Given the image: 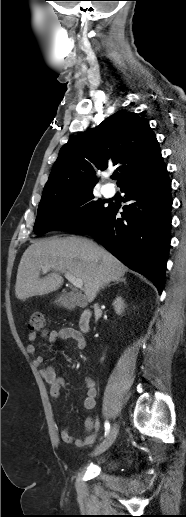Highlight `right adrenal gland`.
I'll list each match as a JSON object with an SVG mask.
<instances>
[{
	"mask_svg": "<svg viewBox=\"0 0 186 517\" xmlns=\"http://www.w3.org/2000/svg\"><path fill=\"white\" fill-rule=\"evenodd\" d=\"M119 282H124V283H126V278H120V279H118V280L114 281V284H117V283H119ZM111 285H112V284L107 285V286H108V287H110Z\"/></svg>",
	"mask_w": 186,
	"mask_h": 517,
	"instance_id": "right-adrenal-gland-1",
	"label": "right adrenal gland"
}]
</instances>
